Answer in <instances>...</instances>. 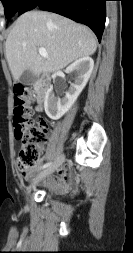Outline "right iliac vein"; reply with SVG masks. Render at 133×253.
<instances>
[{
	"label": "right iliac vein",
	"instance_id": "obj_1",
	"mask_svg": "<svg viewBox=\"0 0 133 253\" xmlns=\"http://www.w3.org/2000/svg\"><path fill=\"white\" fill-rule=\"evenodd\" d=\"M65 157L64 155H61L58 157V159L55 161L53 165L45 169L43 172H41L35 179L34 181L26 188V197L27 200L29 199V196L31 194L32 189L36 186V184L44 179L45 177L49 176L52 174L54 171H56L64 162Z\"/></svg>",
	"mask_w": 133,
	"mask_h": 253
}]
</instances>
